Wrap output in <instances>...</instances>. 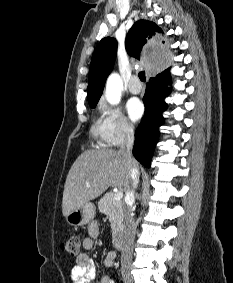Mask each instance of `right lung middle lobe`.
Instances as JSON below:
<instances>
[{
	"label": "right lung middle lobe",
	"instance_id": "dd1d6c3e",
	"mask_svg": "<svg viewBox=\"0 0 233 283\" xmlns=\"http://www.w3.org/2000/svg\"><path fill=\"white\" fill-rule=\"evenodd\" d=\"M95 106H96V105H91L90 107H91V108H94Z\"/></svg>",
	"mask_w": 233,
	"mask_h": 283
}]
</instances>
